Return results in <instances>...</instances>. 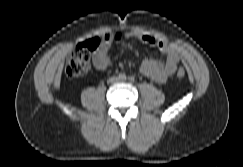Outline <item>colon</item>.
I'll return each mask as SVG.
<instances>
[{
	"label": "colon",
	"mask_w": 243,
	"mask_h": 167,
	"mask_svg": "<svg viewBox=\"0 0 243 167\" xmlns=\"http://www.w3.org/2000/svg\"><path fill=\"white\" fill-rule=\"evenodd\" d=\"M101 44L102 39L99 37H92L80 42L66 63V74L70 77L86 74L90 69L92 55L100 48ZM176 75L179 79L184 78V69L180 68Z\"/></svg>",
	"instance_id": "1"
}]
</instances>
